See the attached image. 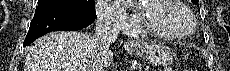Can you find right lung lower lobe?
<instances>
[{
	"label": "right lung lower lobe",
	"instance_id": "obj_1",
	"mask_svg": "<svg viewBox=\"0 0 230 71\" xmlns=\"http://www.w3.org/2000/svg\"><path fill=\"white\" fill-rule=\"evenodd\" d=\"M96 15L71 8L41 9L35 11L23 46H29L42 35L56 30H80L90 26Z\"/></svg>",
	"mask_w": 230,
	"mask_h": 71
}]
</instances>
